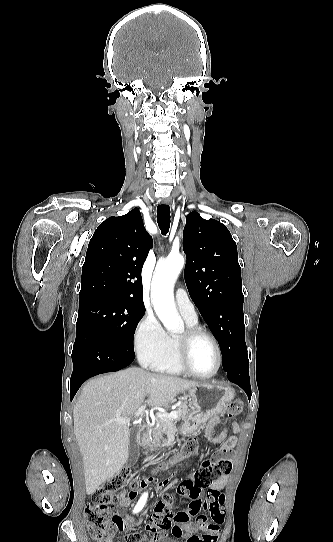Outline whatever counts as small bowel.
<instances>
[{
    "label": "small bowel",
    "mask_w": 333,
    "mask_h": 542,
    "mask_svg": "<svg viewBox=\"0 0 333 542\" xmlns=\"http://www.w3.org/2000/svg\"><path fill=\"white\" fill-rule=\"evenodd\" d=\"M219 423V421H212L211 419L209 420L207 426H206V430H205V435H206V438L208 439V441L212 444H221V453H216V454H213L212 455V460L213 461H216V462H232L233 461V454L232 453H229V451H231L236 443H237V437L236 435L240 432L241 430V427L240 425L233 421L231 423V429H232V432H233V435L231 436H228V432H227V429H223L222 432H220L219 434L217 435H214L212 433V430L213 428ZM227 483V477L226 476H222L220 478H218L217 480H215L212 485H211V488L212 489H222ZM140 488L142 490H147L149 488V486H158L159 488H163V487H166L169 485V481L168 480H163V478L161 476H151V477H145V479H142L140 481ZM157 493L160 491L158 488L155 490ZM138 497V494L136 491H129L128 492V495L127 497L119 500L118 502V506L121 507V508H128V507H133L134 504H135V500L137 499ZM162 497L164 499H167L169 497V494L167 492H164L162 494ZM146 512V511H143V513ZM184 512V511H182ZM139 511H134L132 514H130L126 521H127V524L128 526H134L136 524V516L138 515ZM183 525V529L184 531L186 532V534H193L196 532L197 530V527L193 524V523H185V524H182ZM116 528H118L119 532H124V524L122 522H118L116 523Z\"/></svg>",
    "instance_id": "obj_1"
}]
</instances>
